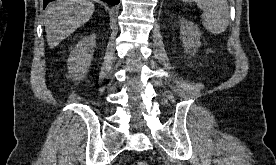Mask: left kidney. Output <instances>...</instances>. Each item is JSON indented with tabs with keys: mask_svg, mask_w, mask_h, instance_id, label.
<instances>
[{
	"mask_svg": "<svg viewBox=\"0 0 276 165\" xmlns=\"http://www.w3.org/2000/svg\"><path fill=\"white\" fill-rule=\"evenodd\" d=\"M180 33L186 53L190 54L193 50L196 51V49L200 47L201 33L197 25L185 19H181Z\"/></svg>",
	"mask_w": 276,
	"mask_h": 165,
	"instance_id": "obj_1",
	"label": "left kidney"
}]
</instances>
